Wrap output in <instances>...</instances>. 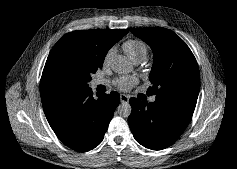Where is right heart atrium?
I'll use <instances>...</instances> for the list:
<instances>
[{
    "label": "right heart atrium",
    "mask_w": 237,
    "mask_h": 169,
    "mask_svg": "<svg viewBox=\"0 0 237 169\" xmlns=\"http://www.w3.org/2000/svg\"><path fill=\"white\" fill-rule=\"evenodd\" d=\"M113 53H114V48L113 47L109 48L106 51L105 56H104V64H108L109 63L110 58L113 55Z\"/></svg>",
    "instance_id": "obj_1"
}]
</instances>
